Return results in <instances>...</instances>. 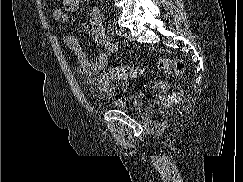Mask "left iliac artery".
I'll list each match as a JSON object with an SVG mask.
<instances>
[{"label":"left iliac artery","mask_w":243,"mask_h":182,"mask_svg":"<svg viewBox=\"0 0 243 182\" xmlns=\"http://www.w3.org/2000/svg\"><path fill=\"white\" fill-rule=\"evenodd\" d=\"M116 35L118 37H122L123 36V33L120 30H116Z\"/></svg>","instance_id":"left-iliac-artery-1"}]
</instances>
